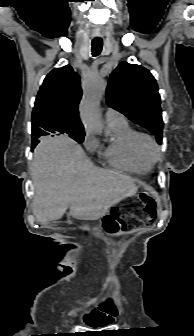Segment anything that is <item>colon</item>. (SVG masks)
<instances>
[{
    "label": "colon",
    "mask_w": 194,
    "mask_h": 336,
    "mask_svg": "<svg viewBox=\"0 0 194 336\" xmlns=\"http://www.w3.org/2000/svg\"><path fill=\"white\" fill-rule=\"evenodd\" d=\"M140 213H145L148 218L155 216V204L151 196L142 193L137 198H129L123 201L119 208L113 210L103 219V227L109 233H118L133 226H140L144 220Z\"/></svg>",
    "instance_id": "1"
}]
</instances>
